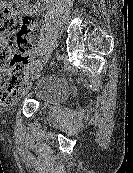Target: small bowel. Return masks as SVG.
I'll return each instance as SVG.
<instances>
[{"label":"small bowel","mask_w":133,"mask_h":173,"mask_svg":"<svg viewBox=\"0 0 133 173\" xmlns=\"http://www.w3.org/2000/svg\"><path fill=\"white\" fill-rule=\"evenodd\" d=\"M35 55H36V50H33V51L29 52L26 55V59L22 62V66H27L33 60Z\"/></svg>","instance_id":"1"}]
</instances>
